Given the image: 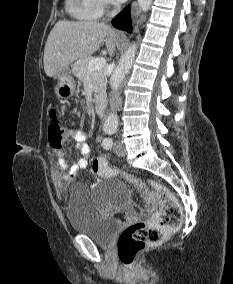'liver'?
Wrapping results in <instances>:
<instances>
[{
  "label": "liver",
  "mask_w": 233,
  "mask_h": 284,
  "mask_svg": "<svg viewBox=\"0 0 233 284\" xmlns=\"http://www.w3.org/2000/svg\"><path fill=\"white\" fill-rule=\"evenodd\" d=\"M105 42L112 55L119 42V33L95 21H58L50 32L44 50V70L53 77L74 61L96 52Z\"/></svg>",
  "instance_id": "liver-1"
}]
</instances>
